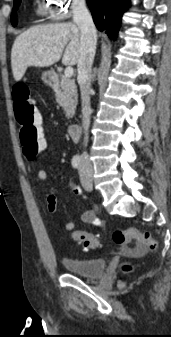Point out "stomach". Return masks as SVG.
<instances>
[{
	"label": "stomach",
	"instance_id": "obj_1",
	"mask_svg": "<svg viewBox=\"0 0 171 337\" xmlns=\"http://www.w3.org/2000/svg\"><path fill=\"white\" fill-rule=\"evenodd\" d=\"M42 79H43V81L46 82V83L52 82L53 79H54V74H53V72H51V71L44 72V73L42 74Z\"/></svg>",
	"mask_w": 171,
	"mask_h": 337
}]
</instances>
